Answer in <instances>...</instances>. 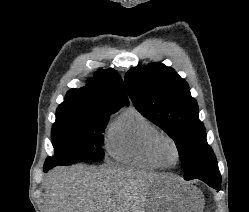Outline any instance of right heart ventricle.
<instances>
[{
  "mask_svg": "<svg viewBox=\"0 0 249 212\" xmlns=\"http://www.w3.org/2000/svg\"><path fill=\"white\" fill-rule=\"evenodd\" d=\"M159 128L138 108L130 106L109 125L105 146L116 161L148 170L162 169L149 150Z\"/></svg>",
  "mask_w": 249,
  "mask_h": 212,
  "instance_id": "obj_1",
  "label": "right heart ventricle"
}]
</instances>
